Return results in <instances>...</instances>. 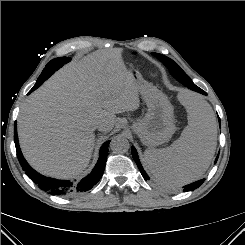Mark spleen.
<instances>
[{
	"label": "spleen",
	"mask_w": 245,
	"mask_h": 245,
	"mask_svg": "<svg viewBox=\"0 0 245 245\" xmlns=\"http://www.w3.org/2000/svg\"><path fill=\"white\" fill-rule=\"evenodd\" d=\"M183 103L188 125L181 136L164 149H147L144 158L152 175L167 186H181L201 178L216 149L217 127L211 106L189 93Z\"/></svg>",
	"instance_id": "1"
}]
</instances>
